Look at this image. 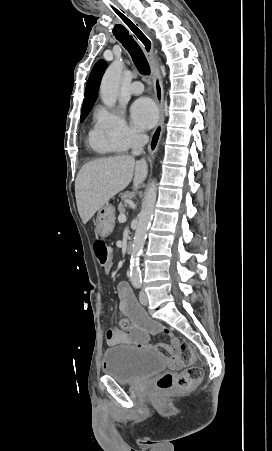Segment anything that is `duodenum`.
<instances>
[{
    "instance_id": "410a0bca",
    "label": "duodenum",
    "mask_w": 272,
    "mask_h": 451,
    "mask_svg": "<svg viewBox=\"0 0 272 451\" xmlns=\"http://www.w3.org/2000/svg\"><path fill=\"white\" fill-rule=\"evenodd\" d=\"M132 247H133L132 242H129L127 244V247H126L127 252H131L132 251Z\"/></svg>"
}]
</instances>
